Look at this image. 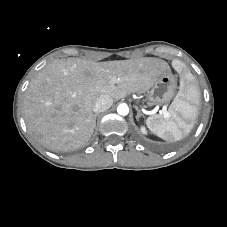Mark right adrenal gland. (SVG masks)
I'll return each mask as SVG.
<instances>
[{
    "label": "right adrenal gland",
    "mask_w": 227,
    "mask_h": 227,
    "mask_svg": "<svg viewBox=\"0 0 227 227\" xmlns=\"http://www.w3.org/2000/svg\"><path fill=\"white\" fill-rule=\"evenodd\" d=\"M97 116H98V113L95 114V120H96Z\"/></svg>",
    "instance_id": "right-adrenal-gland-1"
}]
</instances>
